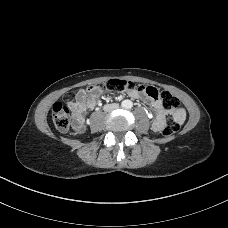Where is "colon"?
Here are the masks:
<instances>
[{
	"mask_svg": "<svg viewBox=\"0 0 228 228\" xmlns=\"http://www.w3.org/2000/svg\"><path fill=\"white\" fill-rule=\"evenodd\" d=\"M95 86V85H92ZM98 88L108 90H138L150 98H159L165 110L175 113L178 111V99L168 91H159L157 88L146 85H137L132 81L126 79H111ZM52 119L55 127L60 131H66L70 126L71 111L69 105L61 102H56L52 106ZM179 129V122L177 118L169 117L163 127V134L171 136Z\"/></svg>",
	"mask_w": 228,
	"mask_h": 228,
	"instance_id": "5ec220e1",
	"label": "colon"
}]
</instances>
